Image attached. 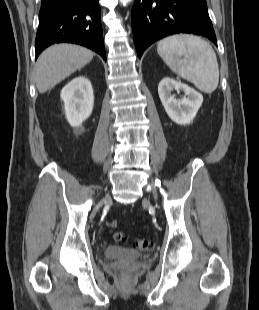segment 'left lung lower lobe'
<instances>
[{
    "label": "left lung lower lobe",
    "mask_w": 259,
    "mask_h": 310,
    "mask_svg": "<svg viewBox=\"0 0 259 310\" xmlns=\"http://www.w3.org/2000/svg\"><path fill=\"white\" fill-rule=\"evenodd\" d=\"M131 23L139 58L155 41L177 33L202 35L217 45L206 0H135Z\"/></svg>",
    "instance_id": "left-lung-lower-lobe-1"
}]
</instances>
